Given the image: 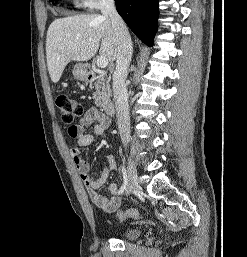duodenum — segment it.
Segmentation results:
<instances>
[{"label": "duodenum", "instance_id": "obj_1", "mask_svg": "<svg viewBox=\"0 0 247 257\" xmlns=\"http://www.w3.org/2000/svg\"><path fill=\"white\" fill-rule=\"evenodd\" d=\"M87 79L88 80H94L95 79V73L92 70L87 71ZM103 110L107 115H109V116L113 115L114 112H115L114 103L112 101H106L103 104Z\"/></svg>", "mask_w": 247, "mask_h": 257}]
</instances>
